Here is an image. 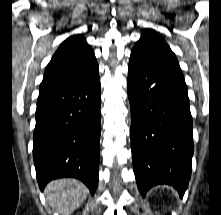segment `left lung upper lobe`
<instances>
[{"label":"left lung upper lobe","instance_id":"1","mask_svg":"<svg viewBox=\"0 0 221 215\" xmlns=\"http://www.w3.org/2000/svg\"><path fill=\"white\" fill-rule=\"evenodd\" d=\"M156 51L175 57L169 45L155 30L153 29L144 30L142 32L141 38L135 43L132 52H156Z\"/></svg>","mask_w":221,"mask_h":215}]
</instances>
